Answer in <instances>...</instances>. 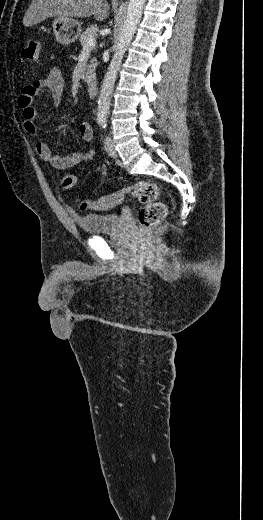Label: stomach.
I'll return each instance as SVG.
<instances>
[{
	"instance_id": "1",
	"label": "stomach",
	"mask_w": 263,
	"mask_h": 520,
	"mask_svg": "<svg viewBox=\"0 0 263 520\" xmlns=\"http://www.w3.org/2000/svg\"><path fill=\"white\" fill-rule=\"evenodd\" d=\"M58 42L68 45L81 34V24L77 20L57 17L52 24Z\"/></svg>"
}]
</instances>
